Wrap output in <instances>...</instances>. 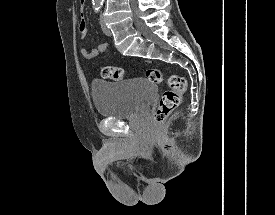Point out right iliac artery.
Here are the masks:
<instances>
[{
  "label": "right iliac artery",
  "instance_id": "obj_1",
  "mask_svg": "<svg viewBox=\"0 0 275 215\" xmlns=\"http://www.w3.org/2000/svg\"><path fill=\"white\" fill-rule=\"evenodd\" d=\"M100 7H95V12H99Z\"/></svg>",
  "mask_w": 275,
  "mask_h": 215
}]
</instances>
